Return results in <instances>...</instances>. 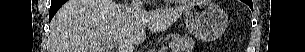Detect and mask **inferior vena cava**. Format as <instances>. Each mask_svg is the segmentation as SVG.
Here are the masks:
<instances>
[{
  "label": "inferior vena cava",
  "instance_id": "inferior-vena-cava-1",
  "mask_svg": "<svg viewBox=\"0 0 305 52\" xmlns=\"http://www.w3.org/2000/svg\"><path fill=\"white\" fill-rule=\"evenodd\" d=\"M132 10H144L143 2L141 0H131L130 5L128 6ZM134 46L131 43L121 45L120 52H133Z\"/></svg>",
  "mask_w": 305,
  "mask_h": 52
}]
</instances>
